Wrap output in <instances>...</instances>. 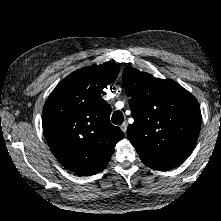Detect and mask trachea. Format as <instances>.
<instances>
[{"label":"trachea","mask_w":221,"mask_h":221,"mask_svg":"<svg viewBox=\"0 0 221 221\" xmlns=\"http://www.w3.org/2000/svg\"><path fill=\"white\" fill-rule=\"evenodd\" d=\"M124 121L123 113L121 111H115L112 115V123L120 125Z\"/></svg>","instance_id":"1"}]
</instances>
